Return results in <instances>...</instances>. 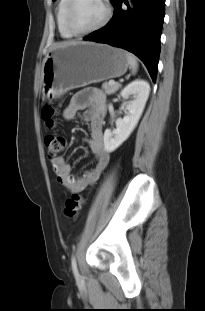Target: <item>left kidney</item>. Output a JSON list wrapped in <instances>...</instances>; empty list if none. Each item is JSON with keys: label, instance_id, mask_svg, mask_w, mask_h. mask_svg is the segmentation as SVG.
Segmentation results:
<instances>
[{"label": "left kidney", "instance_id": "obj_1", "mask_svg": "<svg viewBox=\"0 0 205 311\" xmlns=\"http://www.w3.org/2000/svg\"><path fill=\"white\" fill-rule=\"evenodd\" d=\"M149 93L150 85L142 79L134 80L122 89L120 96L123 99L132 96L133 100L123 105L126 116L116 120V129L113 132L109 129L105 130L104 149L106 152H113L130 136L143 113Z\"/></svg>", "mask_w": 205, "mask_h": 311}]
</instances>
